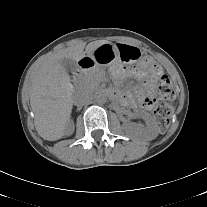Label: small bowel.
Listing matches in <instances>:
<instances>
[{
	"instance_id": "1",
	"label": "small bowel",
	"mask_w": 207,
	"mask_h": 207,
	"mask_svg": "<svg viewBox=\"0 0 207 207\" xmlns=\"http://www.w3.org/2000/svg\"><path fill=\"white\" fill-rule=\"evenodd\" d=\"M146 65L149 67V62H146ZM128 75L136 76L142 82V85L136 89L134 96L129 93L121 94L123 102L130 107L138 105L147 110L152 109L154 106L153 91L155 83L162 76V72L154 76L143 68L113 70V77L117 81L122 80Z\"/></svg>"
}]
</instances>
